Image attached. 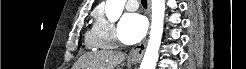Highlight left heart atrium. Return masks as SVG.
<instances>
[{"label": "left heart atrium", "instance_id": "1", "mask_svg": "<svg viewBox=\"0 0 246 69\" xmlns=\"http://www.w3.org/2000/svg\"><path fill=\"white\" fill-rule=\"evenodd\" d=\"M146 31V20L138 13H126L122 16L118 36L119 40L126 45L139 42Z\"/></svg>", "mask_w": 246, "mask_h": 69}]
</instances>
